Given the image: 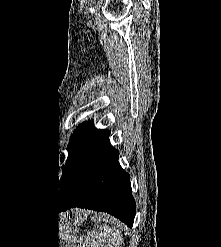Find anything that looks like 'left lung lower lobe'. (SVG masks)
<instances>
[{"mask_svg": "<svg viewBox=\"0 0 221 247\" xmlns=\"http://www.w3.org/2000/svg\"><path fill=\"white\" fill-rule=\"evenodd\" d=\"M104 130L90 146L76 175L60 190L57 200L63 210L81 207L107 212L133 226L136 206L132 196L130 175L118 162L119 152Z\"/></svg>", "mask_w": 221, "mask_h": 247, "instance_id": "0a47b994", "label": "left lung lower lobe"}]
</instances>
